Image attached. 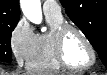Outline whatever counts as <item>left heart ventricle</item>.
<instances>
[{
	"instance_id": "left-heart-ventricle-1",
	"label": "left heart ventricle",
	"mask_w": 107,
	"mask_h": 75,
	"mask_svg": "<svg viewBox=\"0 0 107 75\" xmlns=\"http://www.w3.org/2000/svg\"><path fill=\"white\" fill-rule=\"evenodd\" d=\"M64 54L73 66H84L91 60L89 49L76 32H69L64 40Z\"/></svg>"
}]
</instances>
